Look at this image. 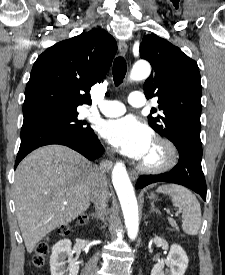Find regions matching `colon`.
Listing matches in <instances>:
<instances>
[{
  "mask_svg": "<svg viewBox=\"0 0 225 275\" xmlns=\"http://www.w3.org/2000/svg\"><path fill=\"white\" fill-rule=\"evenodd\" d=\"M87 217L86 215H82L79 217V223L83 224L86 221ZM62 234H68L70 232V227L69 226H64L61 231ZM49 246L46 241H42L38 243L36 247V252L33 256V263L35 266H41L45 262V256L48 252Z\"/></svg>",
  "mask_w": 225,
  "mask_h": 275,
  "instance_id": "colon-1",
  "label": "colon"
}]
</instances>
